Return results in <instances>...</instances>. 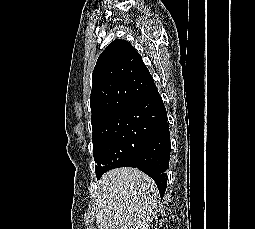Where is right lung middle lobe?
Instances as JSON below:
<instances>
[{
    "label": "right lung middle lobe",
    "instance_id": "obj_1",
    "mask_svg": "<svg viewBox=\"0 0 255 229\" xmlns=\"http://www.w3.org/2000/svg\"><path fill=\"white\" fill-rule=\"evenodd\" d=\"M149 133L145 122L126 110L100 124L92 135L97 179L108 170L136 163Z\"/></svg>",
    "mask_w": 255,
    "mask_h": 229
}]
</instances>
